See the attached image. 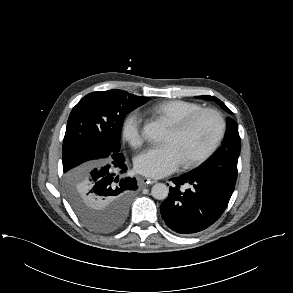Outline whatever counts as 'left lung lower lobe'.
I'll return each instance as SVG.
<instances>
[{
  "instance_id": "1",
  "label": "left lung lower lobe",
  "mask_w": 293,
  "mask_h": 293,
  "mask_svg": "<svg viewBox=\"0 0 293 293\" xmlns=\"http://www.w3.org/2000/svg\"><path fill=\"white\" fill-rule=\"evenodd\" d=\"M168 198L160 210L166 225L180 234H193L205 230L224 212L235 185L219 177L189 172L172 178ZM190 189L181 191L180 186Z\"/></svg>"
}]
</instances>
